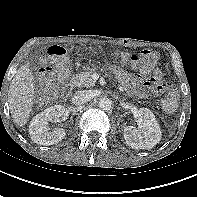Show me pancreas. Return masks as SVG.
I'll list each match as a JSON object with an SVG mask.
<instances>
[{
  "mask_svg": "<svg viewBox=\"0 0 197 197\" xmlns=\"http://www.w3.org/2000/svg\"><path fill=\"white\" fill-rule=\"evenodd\" d=\"M92 72L91 70L74 75L70 80L71 86L87 88L95 86V81L91 78Z\"/></svg>",
  "mask_w": 197,
  "mask_h": 197,
  "instance_id": "1",
  "label": "pancreas"
}]
</instances>
